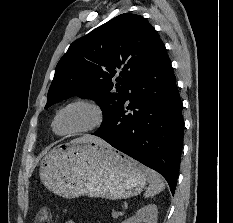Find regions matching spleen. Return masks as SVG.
<instances>
[{"label": "spleen", "mask_w": 233, "mask_h": 223, "mask_svg": "<svg viewBox=\"0 0 233 223\" xmlns=\"http://www.w3.org/2000/svg\"><path fill=\"white\" fill-rule=\"evenodd\" d=\"M147 177L149 185L146 189V193H144L145 197H153V195L165 189V181L157 171H154V169H147Z\"/></svg>", "instance_id": "spleen-1"}]
</instances>
